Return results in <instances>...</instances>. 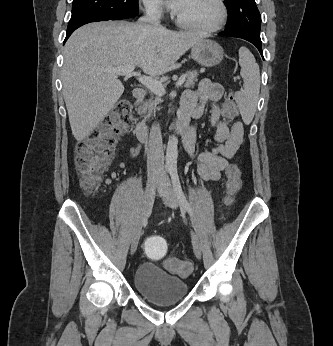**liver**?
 <instances>
[{"label":"liver","mask_w":333,"mask_h":346,"mask_svg":"<svg viewBox=\"0 0 333 346\" xmlns=\"http://www.w3.org/2000/svg\"><path fill=\"white\" fill-rule=\"evenodd\" d=\"M202 35L146 23L100 22L77 29L64 48L63 96L77 141L85 139L114 107L124 86L107 68L134 65L150 76L170 71Z\"/></svg>","instance_id":"obj_1"}]
</instances>
